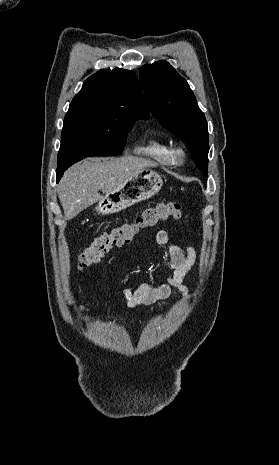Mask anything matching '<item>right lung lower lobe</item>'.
<instances>
[{
	"instance_id": "1",
	"label": "right lung lower lobe",
	"mask_w": 279,
	"mask_h": 465,
	"mask_svg": "<svg viewBox=\"0 0 279 465\" xmlns=\"http://www.w3.org/2000/svg\"><path fill=\"white\" fill-rule=\"evenodd\" d=\"M67 168H63V169H57L56 173H57V182L60 180V178L62 177L63 175V172L66 170Z\"/></svg>"
}]
</instances>
